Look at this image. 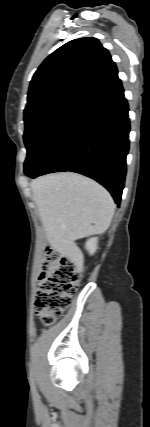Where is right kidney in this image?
Returning a JSON list of instances; mask_svg holds the SVG:
<instances>
[{
    "label": "right kidney",
    "mask_w": 150,
    "mask_h": 427,
    "mask_svg": "<svg viewBox=\"0 0 150 427\" xmlns=\"http://www.w3.org/2000/svg\"><path fill=\"white\" fill-rule=\"evenodd\" d=\"M97 243H98L97 238H91L86 242V249L89 251L91 255L95 253L97 249Z\"/></svg>",
    "instance_id": "obj_1"
}]
</instances>
